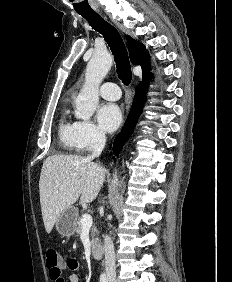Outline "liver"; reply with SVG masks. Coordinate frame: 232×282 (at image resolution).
Segmentation results:
<instances>
[{"instance_id": "liver-1", "label": "liver", "mask_w": 232, "mask_h": 282, "mask_svg": "<svg viewBox=\"0 0 232 282\" xmlns=\"http://www.w3.org/2000/svg\"><path fill=\"white\" fill-rule=\"evenodd\" d=\"M104 180V168L83 156H49L43 162L39 180L46 232L52 231L60 214L78 199L80 204L95 200Z\"/></svg>"}]
</instances>
